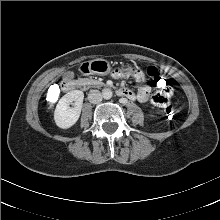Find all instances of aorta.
Segmentation results:
<instances>
[{
    "mask_svg": "<svg viewBox=\"0 0 220 220\" xmlns=\"http://www.w3.org/2000/svg\"><path fill=\"white\" fill-rule=\"evenodd\" d=\"M102 96L104 99H110L112 97V91L110 89H104Z\"/></svg>",
    "mask_w": 220,
    "mask_h": 220,
    "instance_id": "aorta-1",
    "label": "aorta"
}]
</instances>
